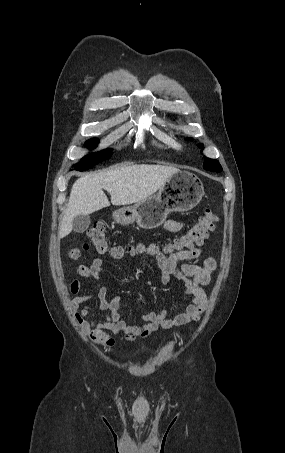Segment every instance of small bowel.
Instances as JSON below:
<instances>
[{"label":"small bowel","mask_w":285,"mask_h":453,"mask_svg":"<svg viewBox=\"0 0 285 453\" xmlns=\"http://www.w3.org/2000/svg\"><path fill=\"white\" fill-rule=\"evenodd\" d=\"M182 221L168 220L165 223V229L169 232H179L185 227ZM140 254L151 255L156 259V267L160 274V280L163 284H168L172 279H178L184 282V296L190 298L183 312L178 313L173 318L168 317L166 309L150 311L141 316L142 324H128L120 313L121 297L115 296L111 300L107 299V290L99 286L96 299L100 309L105 313L103 321H95L90 318L89 306L87 302L90 297L78 295L82 290V285L78 280H73L68 286V292L74 296L70 301V308L73 315L81 326L85 335L95 344L112 347L115 344L114 335L123 334L126 341H134L137 338H146L159 328L170 329L173 327L183 326L190 321H197L201 314L208 307V296L204 286L211 281L212 273L217 267L216 260L210 254L206 255L203 265L193 263H180L196 259L204 254L200 248L191 252L180 253L166 256L153 247L142 248ZM103 269V260L96 258L88 266L80 265L76 268V273L86 279L98 281Z\"/></svg>","instance_id":"obj_1"}]
</instances>
